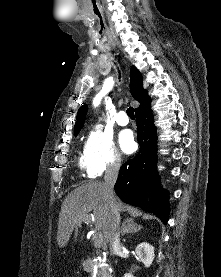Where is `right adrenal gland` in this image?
<instances>
[{"instance_id":"right-adrenal-gland-1","label":"right adrenal gland","mask_w":221,"mask_h":277,"mask_svg":"<svg viewBox=\"0 0 221 277\" xmlns=\"http://www.w3.org/2000/svg\"><path fill=\"white\" fill-rule=\"evenodd\" d=\"M142 226L135 224L132 221H125L122 224L121 233L124 236L126 233H138L141 231Z\"/></svg>"}]
</instances>
